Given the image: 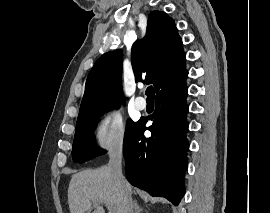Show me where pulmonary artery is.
<instances>
[{
  "instance_id": "e3ab8cb5",
  "label": "pulmonary artery",
  "mask_w": 270,
  "mask_h": 213,
  "mask_svg": "<svg viewBox=\"0 0 270 213\" xmlns=\"http://www.w3.org/2000/svg\"><path fill=\"white\" fill-rule=\"evenodd\" d=\"M135 107L138 110H144L146 108V101L143 97H137L135 99Z\"/></svg>"
}]
</instances>
